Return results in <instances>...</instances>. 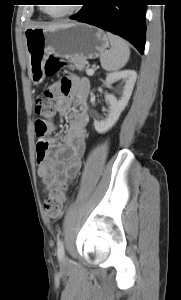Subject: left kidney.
I'll return each mask as SVG.
<instances>
[{
    "label": "left kidney",
    "instance_id": "5707ae66",
    "mask_svg": "<svg viewBox=\"0 0 181 300\" xmlns=\"http://www.w3.org/2000/svg\"><path fill=\"white\" fill-rule=\"evenodd\" d=\"M136 77L137 73L133 70H123L107 75L106 84L121 81L123 87L119 100L112 94H105V101L109 105L108 116L105 119L94 121V128L98 133H105L115 125L131 97Z\"/></svg>",
    "mask_w": 181,
    "mask_h": 300
}]
</instances>
